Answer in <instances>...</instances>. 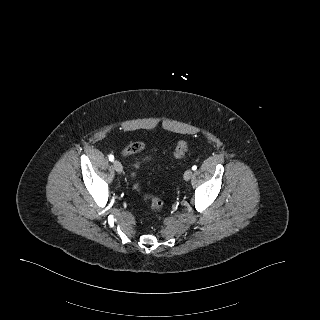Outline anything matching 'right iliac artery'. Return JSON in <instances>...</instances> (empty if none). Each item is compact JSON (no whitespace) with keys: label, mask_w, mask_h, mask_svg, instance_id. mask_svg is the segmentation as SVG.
I'll return each mask as SVG.
<instances>
[{"label":"right iliac artery","mask_w":320,"mask_h":320,"mask_svg":"<svg viewBox=\"0 0 320 320\" xmlns=\"http://www.w3.org/2000/svg\"><path fill=\"white\" fill-rule=\"evenodd\" d=\"M109 160L112 162L114 160V156L113 155H109Z\"/></svg>","instance_id":"right-iliac-artery-1"}]
</instances>
